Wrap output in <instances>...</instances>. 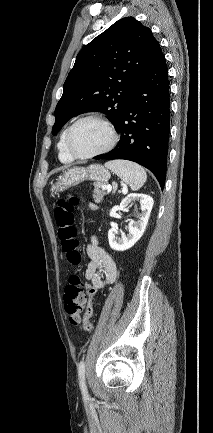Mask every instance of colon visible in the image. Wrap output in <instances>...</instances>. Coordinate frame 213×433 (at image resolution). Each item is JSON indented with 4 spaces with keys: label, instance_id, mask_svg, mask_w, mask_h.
I'll return each instance as SVG.
<instances>
[{
    "label": "colon",
    "instance_id": "colon-1",
    "mask_svg": "<svg viewBox=\"0 0 213 433\" xmlns=\"http://www.w3.org/2000/svg\"><path fill=\"white\" fill-rule=\"evenodd\" d=\"M80 200L69 195L67 198L60 199L54 209V217L58 226V237L61 241L62 248L67 255L68 261L79 267L82 263V254L79 250V240L77 229L74 226V210ZM87 284L80 278L79 271L70 276L68 284L65 287L63 301L64 309L74 325L82 323L85 331L92 330V323L86 318V296Z\"/></svg>",
    "mask_w": 213,
    "mask_h": 433
}]
</instances>
